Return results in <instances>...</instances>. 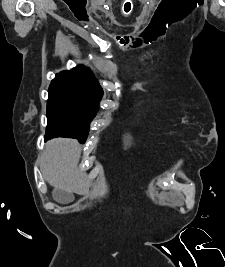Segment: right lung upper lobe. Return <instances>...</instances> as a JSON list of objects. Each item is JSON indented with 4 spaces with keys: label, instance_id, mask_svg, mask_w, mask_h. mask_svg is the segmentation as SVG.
I'll return each instance as SVG.
<instances>
[{
    "label": "right lung upper lobe",
    "instance_id": "cb5924a9",
    "mask_svg": "<svg viewBox=\"0 0 225 267\" xmlns=\"http://www.w3.org/2000/svg\"><path fill=\"white\" fill-rule=\"evenodd\" d=\"M51 85H59L78 90L96 104H98L103 95V90L92 71L83 65H79L70 71H62L56 74Z\"/></svg>",
    "mask_w": 225,
    "mask_h": 267
}]
</instances>
